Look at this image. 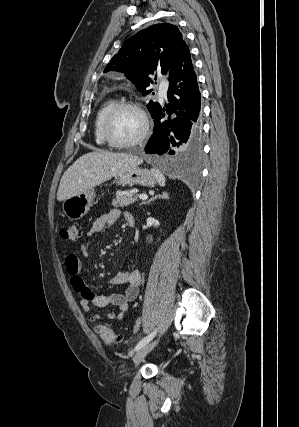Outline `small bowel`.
<instances>
[{
  "mask_svg": "<svg viewBox=\"0 0 299 427\" xmlns=\"http://www.w3.org/2000/svg\"><path fill=\"white\" fill-rule=\"evenodd\" d=\"M132 216L125 213V219ZM120 217L118 209H112L96 219L89 232L90 238L103 232L106 228L113 225ZM84 255H87L88 247H82ZM65 266L70 276L71 285L77 292L80 299L82 310L88 314L91 320H121L129 309L130 302L134 301L139 292L141 283V273L138 269H126L111 278V283L115 285H125L123 293L96 294L84 282L81 259L76 254H69L66 257ZM113 305L114 311H105L104 308Z\"/></svg>",
  "mask_w": 299,
  "mask_h": 427,
  "instance_id": "c3829d8e",
  "label": "small bowel"
}]
</instances>
